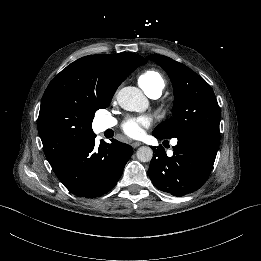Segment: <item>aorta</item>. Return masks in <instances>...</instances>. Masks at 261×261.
Here are the masks:
<instances>
[{"label": "aorta", "mask_w": 261, "mask_h": 261, "mask_svg": "<svg viewBox=\"0 0 261 261\" xmlns=\"http://www.w3.org/2000/svg\"><path fill=\"white\" fill-rule=\"evenodd\" d=\"M117 101L121 108L127 111L144 112L148 108V99L136 87L127 86L117 94ZM137 159L141 162H150L153 151L148 146L140 147L136 152Z\"/></svg>", "instance_id": "762f6f07"}]
</instances>
